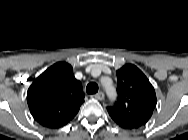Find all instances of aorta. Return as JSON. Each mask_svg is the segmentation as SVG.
I'll return each instance as SVG.
<instances>
[{"label": "aorta", "instance_id": "obj_1", "mask_svg": "<svg viewBox=\"0 0 188 140\" xmlns=\"http://www.w3.org/2000/svg\"><path fill=\"white\" fill-rule=\"evenodd\" d=\"M108 81L109 79L107 78L103 79V84H104L108 97L113 100L116 97V90L111 83H108Z\"/></svg>", "mask_w": 188, "mask_h": 140}]
</instances>
